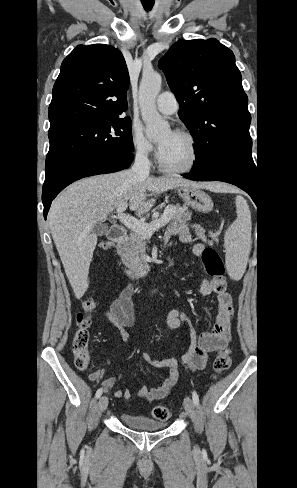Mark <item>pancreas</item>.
Returning a JSON list of instances; mask_svg holds the SVG:
<instances>
[{
  "label": "pancreas",
  "mask_w": 297,
  "mask_h": 488,
  "mask_svg": "<svg viewBox=\"0 0 297 488\" xmlns=\"http://www.w3.org/2000/svg\"><path fill=\"white\" fill-rule=\"evenodd\" d=\"M169 217L173 224H182L191 219V212L185 207L172 206ZM117 251L123 264L130 270L136 271L146 264L144 261L146 237L133 231L125 241L117 245Z\"/></svg>",
  "instance_id": "obj_1"
}]
</instances>
